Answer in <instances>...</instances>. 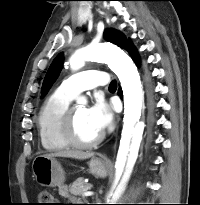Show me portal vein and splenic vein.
<instances>
[{
  "label": "portal vein and splenic vein",
  "mask_w": 200,
  "mask_h": 205,
  "mask_svg": "<svg viewBox=\"0 0 200 205\" xmlns=\"http://www.w3.org/2000/svg\"><path fill=\"white\" fill-rule=\"evenodd\" d=\"M93 194H94V192H92V191H86L83 193V196L88 197V196H92Z\"/></svg>",
  "instance_id": "1"
}]
</instances>
